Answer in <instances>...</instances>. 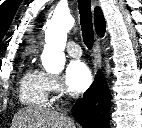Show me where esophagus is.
<instances>
[{
    "mask_svg": "<svg viewBox=\"0 0 142 128\" xmlns=\"http://www.w3.org/2000/svg\"><path fill=\"white\" fill-rule=\"evenodd\" d=\"M95 5H97V1L93 0V6ZM93 59H94V72L96 73L101 61L100 39L98 37H96L93 47Z\"/></svg>",
    "mask_w": 142,
    "mask_h": 128,
    "instance_id": "obj_1",
    "label": "esophagus"
}]
</instances>
